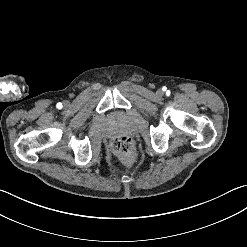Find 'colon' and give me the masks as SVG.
Masks as SVG:
<instances>
[{
	"label": "colon",
	"instance_id": "colon-1",
	"mask_svg": "<svg viewBox=\"0 0 247 247\" xmlns=\"http://www.w3.org/2000/svg\"><path fill=\"white\" fill-rule=\"evenodd\" d=\"M112 147L122 157L124 163L133 161L135 157V148L127 135H118L112 142Z\"/></svg>",
	"mask_w": 247,
	"mask_h": 247
}]
</instances>
